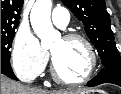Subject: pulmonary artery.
I'll return each instance as SVG.
<instances>
[{"label":"pulmonary artery","mask_w":121,"mask_h":94,"mask_svg":"<svg viewBox=\"0 0 121 94\" xmlns=\"http://www.w3.org/2000/svg\"><path fill=\"white\" fill-rule=\"evenodd\" d=\"M53 23L60 27L65 28L69 23V12L63 7H56L52 12Z\"/></svg>","instance_id":"pulmonary-artery-1"}]
</instances>
